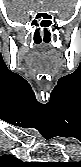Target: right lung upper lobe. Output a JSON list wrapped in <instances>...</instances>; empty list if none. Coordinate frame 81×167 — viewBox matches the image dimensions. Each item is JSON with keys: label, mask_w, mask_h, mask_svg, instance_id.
I'll return each mask as SVG.
<instances>
[{"label": "right lung upper lobe", "mask_w": 81, "mask_h": 167, "mask_svg": "<svg viewBox=\"0 0 81 167\" xmlns=\"http://www.w3.org/2000/svg\"><path fill=\"white\" fill-rule=\"evenodd\" d=\"M1 163L4 167H30L33 166L31 164H25L21 162L19 159L9 156V155H4L1 156Z\"/></svg>", "instance_id": "cb5924a9"}]
</instances>
